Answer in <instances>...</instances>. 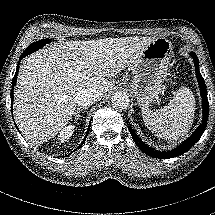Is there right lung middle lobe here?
<instances>
[{
    "instance_id": "obj_1",
    "label": "right lung middle lobe",
    "mask_w": 215,
    "mask_h": 215,
    "mask_svg": "<svg viewBox=\"0 0 215 215\" xmlns=\"http://www.w3.org/2000/svg\"><path fill=\"white\" fill-rule=\"evenodd\" d=\"M47 43H50V40L49 39H42V40H39V41H36L34 43H32L26 50L25 52L27 54H31L35 51H37L38 49H40L43 45L47 44Z\"/></svg>"
}]
</instances>
